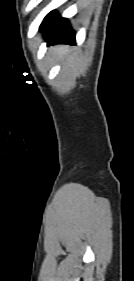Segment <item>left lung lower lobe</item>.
Here are the masks:
<instances>
[{
  "mask_svg": "<svg viewBox=\"0 0 134 281\" xmlns=\"http://www.w3.org/2000/svg\"><path fill=\"white\" fill-rule=\"evenodd\" d=\"M40 30L45 32V39L48 44L52 42L75 43V35L67 19L56 16L55 11H51L44 19Z\"/></svg>",
  "mask_w": 134,
  "mask_h": 281,
  "instance_id": "1",
  "label": "left lung lower lobe"
}]
</instances>
